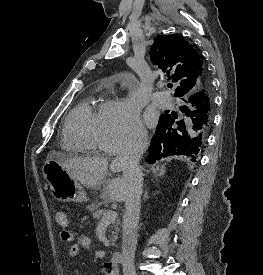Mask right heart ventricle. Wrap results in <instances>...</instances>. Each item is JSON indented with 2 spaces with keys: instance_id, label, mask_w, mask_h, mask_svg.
Segmentation results:
<instances>
[{
  "instance_id": "1",
  "label": "right heart ventricle",
  "mask_w": 263,
  "mask_h": 275,
  "mask_svg": "<svg viewBox=\"0 0 263 275\" xmlns=\"http://www.w3.org/2000/svg\"><path fill=\"white\" fill-rule=\"evenodd\" d=\"M103 119L104 104L95 105L91 99L82 101L69 112L65 120L63 148L75 153L101 149Z\"/></svg>"
}]
</instances>
